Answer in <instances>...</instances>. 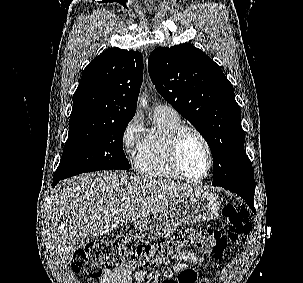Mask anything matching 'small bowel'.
Returning <instances> with one entry per match:
<instances>
[{
  "mask_svg": "<svg viewBox=\"0 0 303 283\" xmlns=\"http://www.w3.org/2000/svg\"><path fill=\"white\" fill-rule=\"evenodd\" d=\"M174 258L180 261H188L195 265H203L205 262L204 258L191 251H181L177 253ZM186 268L188 267L185 263H179L175 266L174 271L181 272ZM134 278L138 283H149L146 273L143 270L136 271ZM100 283H132V272L125 269L105 271Z\"/></svg>",
  "mask_w": 303,
  "mask_h": 283,
  "instance_id": "c3829d8e",
  "label": "small bowel"
}]
</instances>
